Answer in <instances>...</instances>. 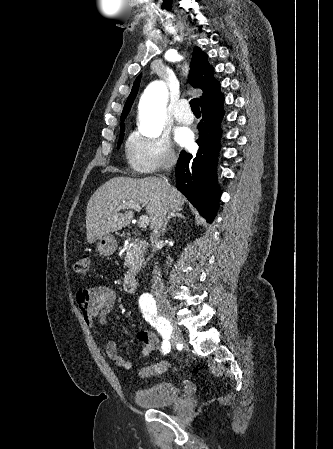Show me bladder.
Returning <instances> with one entry per match:
<instances>
[{"label": "bladder", "instance_id": "bladder-1", "mask_svg": "<svg viewBox=\"0 0 333 449\" xmlns=\"http://www.w3.org/2000/svg\"><path fill=\"white\" fill-rule=\"evenodd\" d=\"M181 396L180 388L173 382H159L135 391L134 401L143 408H162L174 405Z\"/></svg>", "mask_w": 333, "mask_h": 449}]
</instances>
